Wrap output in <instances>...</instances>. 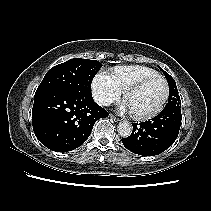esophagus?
<instances>
[{
	"mask_svg": "<svg viewBox=\"0 0 211 211\" xmlns=\"http://www.w3.org/2000/svg\"><path fill=\"white\" fill-rule=\"evenodd\" d=\"M110 118H111L112 120H114L115 122L121 121L118 117L114 116L113 114H110Z\"/></svg>",
	"mask_w": 211,
	"mask_h": 211,
	"instance_id": "esophagus-1",
	"label": "esophagus"
}]
</instances>
